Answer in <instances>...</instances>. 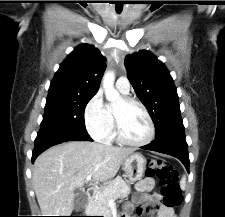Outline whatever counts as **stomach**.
I'll return each instance as SVG.
<instances>
[{"mask_svg": "<svg viewBox=\"0 0 225 217\" xmlns=\"http://www.w3.org/2000/svg\"><path fill=\"white\" fill-rule=\"evenodd\" d=\"M146 165V158L140 153H134L123 161L122 169L130 181H137L143 176Z\"/></svg>", "mask_w": 225, "mask_h": 217, "instance_id": "obj_1", "label": "stomach"}]
</instances>
